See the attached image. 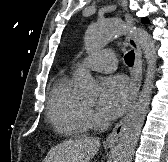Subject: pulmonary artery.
I'll return each mask as SVG.
<instances>
[{"label": "pulmonary artery", "mask_w": 168, "mask_h": 162, "mask_svg": "<svg viewBox=\"0 0 168 162\" xmlns=\"http://www.w3.org/2000/svg\"><path fill=\"white\" fill-rule=\"evenodd\" d=\"M79 66L99 72H111L117 66V56L111 49L97 51L78 62L74 68Z\"/></svg>", "instance_id": "pulmonary-artery-1"}]
</instances>
